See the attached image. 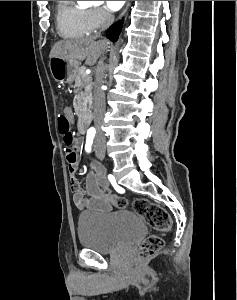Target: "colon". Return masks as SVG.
Here are the masks:
<instances>
[{
  "instance_id": "1",
  "label": "colon",
  "mask_w": 237,
  "mask_h": 300,
  "mask_svg": "<svg viewBox=\"0 0 237 300\" xmlns=\"http://www.w3.org/2000/svg\"><path fill=\"white\" fill-rule=\"evenodd\" d=\"M59 133L63 137L64 144L70 148L77 144V137L72 132L70 122L63 114L58 118ZM105 196L117 208H125L127 206L126 198L111 194L108 190L104 192ZM133 211L142 216L146 223L156 232L163 234L171 228V218L169 213L162 206L155 204L145 198L136 199L133 204ZM160 234H152L147 236L138 248L140 259H148L157 254L163 247V238Z\"/></svg>"
}]
</instances>
